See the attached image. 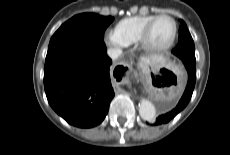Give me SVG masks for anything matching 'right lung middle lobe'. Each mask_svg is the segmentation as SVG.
<instances>
[{"label":"right lung middle lobe","mask_w":230,"mask_h":155,"mask_svg":"<svg viewBox=\"0 0 230 155\" xmlns=\"http://www.w3.org/2000/svg\"><path fill=\"white\" fill-rule=\"evenodd\" d=\"M113 19L95 13L75 15L54 33L47 56L70 48H104V32Z\"/></svg>","instance_id":"obj_1"}]
</instances>
